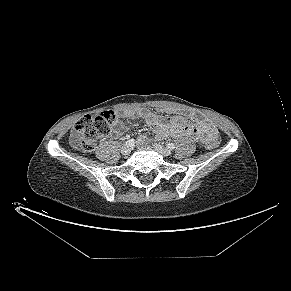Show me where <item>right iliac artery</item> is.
I'll use <instances>...</instances> for the list:
<instances>
[{"instance_id":"right-iliac-artery-1","label":"right iliac artery","mask_w":291,"mask_h":291,"mask_svg":"<svg viewBox=\"0 0 291 291\" xmlns=\"http://www.w3.org/2000/svg\"><path fill=\"white\" fill-rule=\"evenodd\" d=\"M134 142H135L134 139H130V140L126 141L125 144L128 145V146H132V145H134Z\"/></svg>"}]
</instances>
